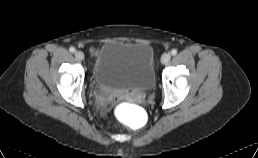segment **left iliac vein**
<instances>
[{
	"label": "left iliac vein",
	"mask_w": 258,
	"mask_h": 158,
	"mask_svg": "<svg viewBox=\"0 0 258 158\" xmlns=\"http://www.w3.org/2000/svg\"><path fill=\"white\" fill-rule=\"evenodd\" d=\"M170 59H171V55H170V53H164L163 55H162V57H161V62L163 63V64H167L169 61H170Z\"/></svg>",
	"instance_id": "left-iliac-vein-1"
}]
</instances>
